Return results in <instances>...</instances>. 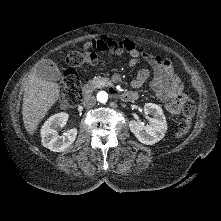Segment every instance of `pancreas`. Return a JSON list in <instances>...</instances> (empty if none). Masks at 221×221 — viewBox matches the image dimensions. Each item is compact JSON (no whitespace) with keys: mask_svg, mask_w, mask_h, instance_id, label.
<instances>
[{"mask_svg":"<svg viewBox=\"0 0 221 221\" xmlns=\"http://www.w3.org/2000/svg\"><path fill=\"white\" fill-rule=\"evenodd\" d=\"M111 84L112 83L109 80V78L101 77V76L94 77L92 80L88 81V85L92 87V89L109 86Z\"/></svg>","mask_w":221,"mask_h":221,"instance_id":"1","label":"pancreas"}]
</instances>
